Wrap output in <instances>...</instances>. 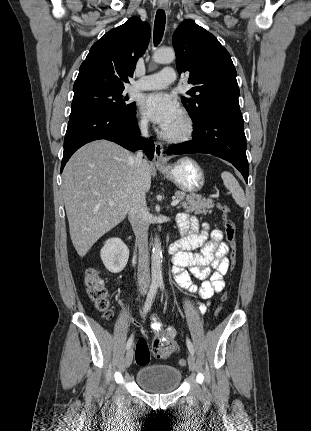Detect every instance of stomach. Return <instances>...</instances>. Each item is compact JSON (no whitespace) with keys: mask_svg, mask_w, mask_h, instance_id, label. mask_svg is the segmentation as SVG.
<instances>
[{"mask_svg":"<svg viewBox=\"0 0 311 431\" xmlns=\"http://www.w3.org/2000/svg\"><path fill=\"white\" fill-rule=\"evenodd\" d=\"M157 170L164 178L173 182L181 192L196 194L204 186V172L191 158H180L175 164L166 166V168H157Z\"/></svg>","mask_w":311,"mask_h":431,"instance_id":"1","label":"stomach"}]
</instances>
